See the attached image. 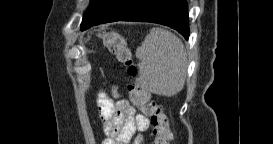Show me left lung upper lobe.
I'll return each instance as SVG.
<instances>
[{
    "instance_id": "5c2ea615",
    "label": "left lung upper lobe",
    "mask_w": 273,
    "mask_h": 144,
    "mask_svg": "<svg viewBox=\"0 0 273 144\" xmlns=\"http://www.w3.org/2000/svg\"><path fill=\"white\" fill-rule=\"evenodd\" d=\"M92 6V0L90 1L89 8Z\"/></svg>"
}]
</instances>
